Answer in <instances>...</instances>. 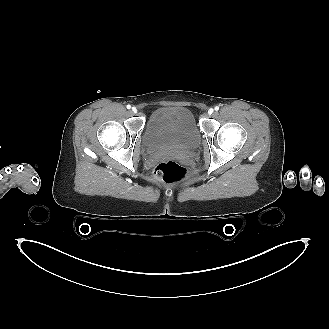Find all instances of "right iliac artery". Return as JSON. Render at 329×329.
Listing matches in <instances>:
<instances>
[{"label": "right iliac artery", "mask_w": 329, "mask_h": 329, "mask_svg": "<svg viewBox=\"0 0 329 329\" xmlns=\"http://www.w3.org/2000/svg\"><path fill=\"white\" fill-rule=\"evenodd\" d=\"M127 108H128V109H130V108H131V106H130V105H127Z\"/></svg>", "instance_id": "right-iliac-artery-1"}]
</instances>
